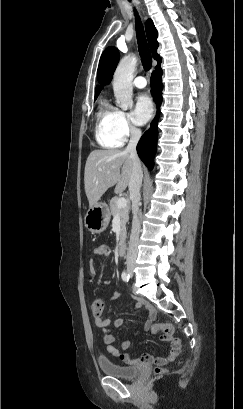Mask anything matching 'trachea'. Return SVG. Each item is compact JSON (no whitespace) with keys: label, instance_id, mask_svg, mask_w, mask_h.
<instances>
[{"label":"trachea","instance_id":"1","mask_svg":"<svg viewBox=\"0 0 243 409\" xmlns=\"http://www.w3.org/2000/svg\"><path fill=\"white\" fill-rule=\"evenodd\" d=\"M135 16H136L135 25H136L138 50H139V53H140V57H141L144 69L149 70V69H151V66H152L151 52H150L148 44H147V40H146V37H145L143 25H142L141 20H140V18H139L136 11H135Z\"/></svg>","mask_w":243,"mask_h":409}]
</instances>
